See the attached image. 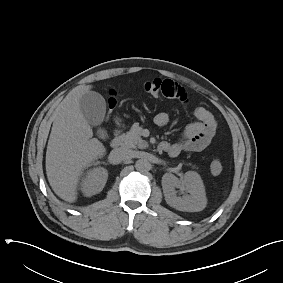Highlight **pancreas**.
Wrapping results in <instances>:
<instances>
[{"mask_svg":"<svg viewBox=\"0 0 283 283\" xmlns=\"http://www.w3.org/2000/svg\"><path fill=\"white\" fill-rule=\"evenodd\" d=\"M142 127L134 123L130 131L122 135V145L126 148L144 149L148 146L147 142L141 138Z\"/></svg>","mask_w":283,"mask_h":283,"instance_id":"cf45deb5","label":"pancreas"}]
</instances>
